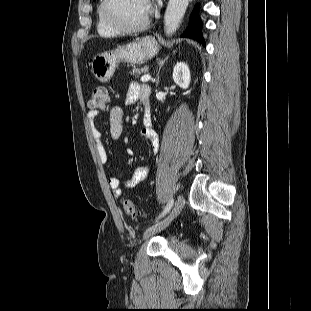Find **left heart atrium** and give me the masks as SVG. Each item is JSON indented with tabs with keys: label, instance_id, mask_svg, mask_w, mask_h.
I'll use <instances>...</instances> for the list:
<instances>
[{
	"label": "left heart atrium",
	"instance_id": "left-heart-atrium-1",
	"mask_svg": "<svg viewBox=\"0 0 311 311\" xmlns=\"http://www.w3.org/2000/svg\"><path fill=\"white\" fill-rule=\"evenodd\" d=\"M146 3H147L149 11H151V9H152V1L151 0H146Z\"/></svg>",
	"mask_w": 311,
	"mask_h": 311
}]
</instances>
